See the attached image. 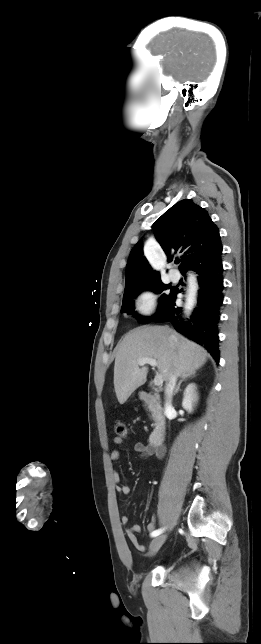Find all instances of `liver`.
Returning a JSON list of instances; mask_svg holds the SVG:
<instances>
[{
	"instance_id": "6515ba94",
	"label": "liver",
	"mask_w": 261,
	"mask_h": 644,
	"mask_svg": "<svg viewBox=\"0 0 261 644\" xmlns=\"http://www.w3.org/2000/svg\"><path fill=\"white\" fill-rule=\"evenodd\" d=\"M207 352L198 344L166 326H141L129 332L117 347L114 365V388L120 404L146 382L148 367H139L141 358H154L168 382L170 375H188L201 368Z\"/></svg>"
}]
</instances>
